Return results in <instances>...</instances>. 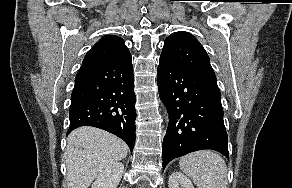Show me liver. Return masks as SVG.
Returning <instances> with one entry per match:
<instances>
[{
	"mask_svg": "<svg viewBox=\"0 0 292 188\" xmlns=\"http://www.w3.org/2000/svg\"><path fill=\"white\" fill-rule=\"evenodd\" d=\"M127 153L126 143L106 131L89 126L75 129L67 138L65 151L68 188H88Z\"/></svg>",
	"mask_w": 292,
	"mask_h": 188,
	"instance_id": "6515ba94",
	"label": "liver"
}]
</instances>
